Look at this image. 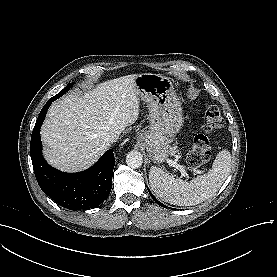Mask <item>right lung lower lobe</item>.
Segmentation results:
<instances>
[{
  "label": "right lung lower lobe",
  "mask_w": 277,
  "mask_h": 277,
  "mask_svg": "<svg viewBox=\"0 0 277 277\" xmlns=\"http://www.w3.org/2000/svg\"><path fill=\"white\" fill-rule=\"evenodd\" d=\"M53 100L42 108L34 126L30 152L34 173L42 191L70 210H89L99 206L112 188L115 165L113 150H108L92 167L79 173H65L52 168L42 156L40 128Z\"/></svg>",
  "instance_id": "98d812e1"
}]
</instances>
